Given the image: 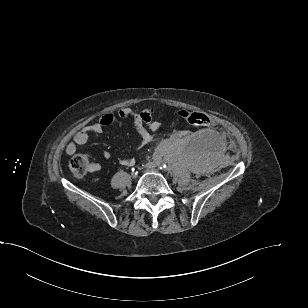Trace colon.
<instances>
[{"label":"colon","mask_w":308,"mask_h":308,"mask_svg":"<svg viewBox=\"0 0 308 308\" xmlns=\"http://www.w3.org/2000/svg\"><path fill=\"white\" fill-rule=\"evenodd\" d=\"M178 115L189 125L196 128L207 127L210 124L209 117L202 112L179 111ZM71 171L76 176L84 175L90 168V159L86 153H77L69 161Z\"/></svg>","instance_id":"1"}]
</instances>
